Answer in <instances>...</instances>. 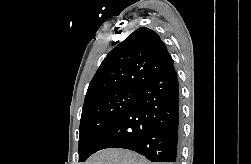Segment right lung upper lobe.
Wrapping results in <instances>:
<instances>
[{"label": "right lung upper lobe", "instance_id": "obj_1", "mask_svg": "<svg viewBox=\"0 0 251 164\" xmlns=\"http://www.w3.org/2000/svg\"><path fill=\"white\" fill-rule=\"evenodd\" d=\"M172 66V57L159 35L140 27L102 61L89 84L84 103L118 89H139Z\"/></svg>", "mask_w": 251, "mask_h": 164}]
</instances>
